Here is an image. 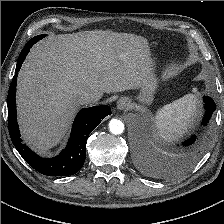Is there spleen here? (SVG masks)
<instances>
[{
	"label": "spleen",
	"instance_id": "3e777b00",
	"mask_svg": "<svg viewBox=\"0 0 224 224\" xmlns=\"http://www.w3.org/2000/svg\"><path fill=\"white\" fill-rule=\"evenodd\" d=\"M196 88L193 92H196ZM199 101L195 94H187L157 112L155 125L163 139L181 137L191 128L197 118Z\"/></svg>",
	"mask_w": 224,
	"mask_h": 224
}]
</instances>
